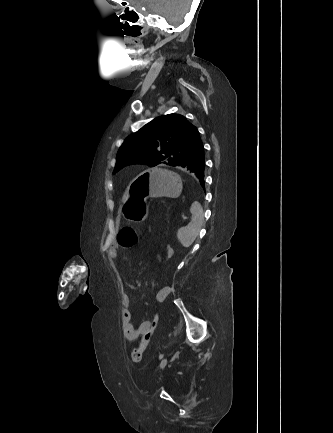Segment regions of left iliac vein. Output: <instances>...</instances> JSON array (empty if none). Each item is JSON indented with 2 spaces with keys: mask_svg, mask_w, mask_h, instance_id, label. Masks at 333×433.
Here are the masks:
<instances>
[{
  "mask_svg": "<svg viewBox=\"0 0 333 433\" xmlns=\"http://www.w3.org/2000/svg\"><path fill=\"white\" fill-rule=\"evenodd\" d=\"M166 364H167V359H163L160 363V368L161 369L164 368L166 366Z\"/></svg>",
  "mask_w": 333,
  "mask_h": 433,
  "instance_id": "left-iliac-vein-1",
  "label": "left iliac vein"
}]
</instances>
